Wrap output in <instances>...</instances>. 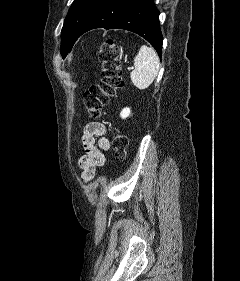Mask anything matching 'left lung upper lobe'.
Returning <instances> with one entry per match:
<instances>
[{
  "instance_id": "obj_1",
  "label": "left lung upper lobe",
  "mask_w": 240,
  "mask_h": 281,
  "mask_svg": "<svg viewBox=\"0 0 240 281\" xmlns=\"http://www.w3.org/2000/svg\"><path fill=\"white\" fill-rule=\"evenodd\" d=\"M101 2L102 0H74L61 31L60 49L63 58L71 51L84 24Z\"/></svg>"
}]
</instances>
